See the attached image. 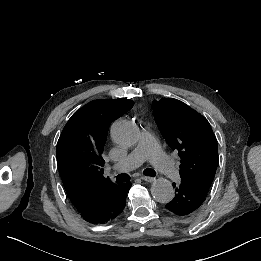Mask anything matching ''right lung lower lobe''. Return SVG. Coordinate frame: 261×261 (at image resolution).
I'll return each instance as SVG.
<instances>
[{"mask_svg": "<svg viewBox=\"0 0 261 261\" xmlns=\"http://www.w3.org/2000/svg\"><path fill=\"white\" fill-rule=\"evenodd\" d=\"M130 187V183H120L103 188L94 193L77 211L85 221L92 224H103L113 220L124 209Z\"/></svg>", "mask_w": 261, "mask_h": 261, "instance_id": "right-lung-lower-lobe-1", "label": "right lung lower lobe"}]
</instances>
